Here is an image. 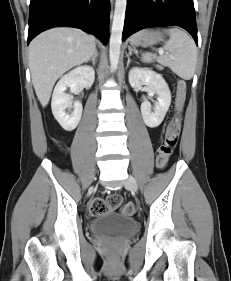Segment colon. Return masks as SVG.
<instances>
[{
  "mask_svg": "<svg viewBox=\"0 0 231 281\" xmlns=\"http://www.w3.org/2000/svg\"><path fill=\"white\" fill-rule=\"evenodd\" d=\"M186 99V83L183 80H178L175 99V115L168 124L164 136V141L159 147L157 156V166L163 169L168 164V161L173 154L178 143L180 128H181V113L184 108ZM122 207L123 213L126 215H134L136 206L133 202L123 204V199L118 194H112L106 199L94 198L89 204V212L92 215H99L107 210H115Z\"/></svg>",
  "mask_w": 231,
  "mask_h": 281,
  "instance_id": "5ec220e1",
  "label": "colon"
}]
</instances>
